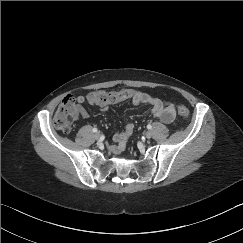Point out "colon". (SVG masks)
Listing matches in <instances>:
<instances>
[{"label":"colon","mask_w":243,"mask_h":243,"mask_svg":"<svg viewBox=\"0 0 243 243\" xmlns=\"http://www.w3.org/2000/svg\"><path fill=\"white\" fill-rule=\"evenodd\" d=\"M131 89H123L120 91H97L93 92L89 96V100L94 103H100V104H108V103H115L120 102L123 100L128 99L132 95ZM177 111L179 116L187 121L189 118V110L185 105H179L177 107ZM80 112V104L78 100L73 96H67L65 97L54 116V125L59 130H62L63 132H68L71 130L73 123L77 119Z\"/></svg>","instance_id":"1"}]
</instances>
